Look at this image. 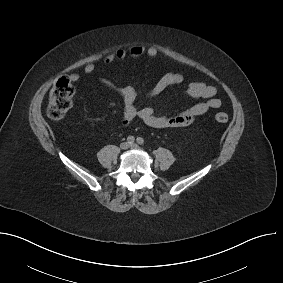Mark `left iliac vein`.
<instances>
[{"instance_id":"obj_1","label":"left iliac vein","mask_w":283,"mask_h":283,"mask_svg":"<svg viewBox=\"0 0 283 283\" xmlns=\"http://www.w3.org/2000/svg\"><path fill=\"white\" fill-rule=\"evenodd\" d=\"M130 148L131 149H139V146L137 144L133 143V144L130 145Z\"/></svg>"}]
</instances>
